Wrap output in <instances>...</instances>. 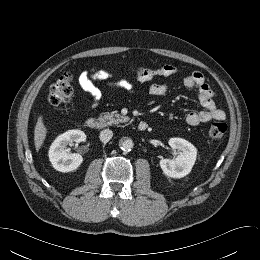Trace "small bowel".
Masks as SVG:
<instances>
[{
  "instance_id": "1",
  "label": "small bowel",
  "mask_w": 260,
  "mask_h": 260,
  "mask_svg": "<svg viewBox=\"0 0 260 260\" xmlns=\"http://www.w3.org/2000/svg\"><path fill=\"white\" fill-rule=\"evenodd\" d=\"M178 68L174 65L166 64L157 68L148 69V73L144 76H138L140 82H146L156 76H172L178 73ZM114 75L103 70L92 69L90 71H82L78 81L80 87L91 98V107L95 108L102 96L101 90L95 85V81L108 82V85L114 86L127 91H132L133 85L125 79H113ZM182 84L185 88H197L199 101L203 110L190 112L185 117V122L190 126H197L202 123H207L211 120H224L226 114L223 110L217 108L214 102V94L206 83L204 75L195 71L186 76ZM168 86L165 83H156L151 85L149 93L151 96L158 97L166 94Z\"/></svg>"
}]
</instances>
